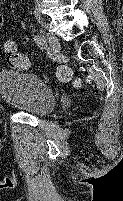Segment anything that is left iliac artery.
I'll list each match as a JSON object with an SVG mask.
<instances>
[{
	"mask_svg": "<svg viewBox=\"0 0 123 201\" xmlns=\"http://www.w3.org/2000/svg\"><path fill=\"white\" fill-rule=\"evenodd\" d=\"M34 40H35V42H36V44H37L38 46H41V47H45V46H46L44 36H42V35H40V34H37V35L35 36Z\"/></svg>",
	"mask_w": 123,
	"mask_h": 201,
	"instance_id": "obj_1",
	"label": "left iliac artery"
}]
</instances>
